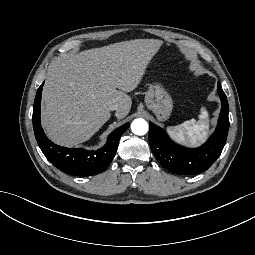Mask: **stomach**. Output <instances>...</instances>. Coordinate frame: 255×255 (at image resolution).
I'll list each match as a JSON object with an SVG mask.
<instances>
[{
  "instance_id": "0dacf381",
  "label": "stomach",
  "mask_w": 255,
  "mask_h": 255,
  "mask_svg": "<svg viewBox=\"0 0 255 255\" xmlns=\"http://www.w3.org/2000/svg\"><path fill=\"white\" fill-rule=\"evenodd\" d=\"M144 102L159 120L167 119L172 111V99L159 85H149Z\"/></svg>"
}]
</instances>
